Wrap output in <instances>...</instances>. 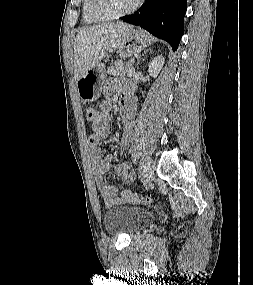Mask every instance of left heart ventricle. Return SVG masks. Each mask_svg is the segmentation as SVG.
Returning a JSON list of instances; mask_svg holds the SVG:
<instances>
[{"label":"left heart ventricle","mask_w":253,"mask_h":285,"mask_svg":"<svg viewBox=\"0 0 253 285\" xmlns=\"http://www.w3.org/2000/svg\"><path fill=\"white\" fill-rule=\"evenodd\" d=\"M99 8L108 14L119 13L130 8L136 0H98Z\"/></svg>","instance_id":"1"}]
</instances>
